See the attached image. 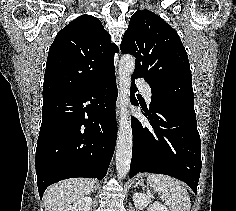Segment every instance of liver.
<instances>
[{"label": "liver", "mask_w": 236, "mask_h": 211, "mask_svg": "<svg viewBox=\"0 0 236 211\" xmlns=\"http://www.w3.org/2000/svg\"><path fill=\"white\" fill-rule=\"evenodd\" d=\"M94 182L85 178H72L53 184L43 195L45 211H65V208L88 195Z\"/></svg>", "instance_id": "1"}]
</instances>
